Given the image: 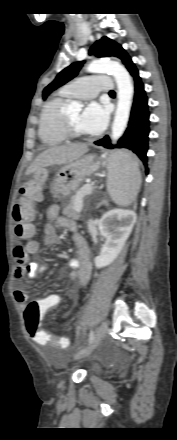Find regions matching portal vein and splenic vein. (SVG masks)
<instances>
[{"instance_id": "18ae733b", "label": "portal vein and splenic vein", "mask_w": 177, "mask_h": 440, "mask_svg": "<svg viewBox=\"0 0 177 440\" xmlns=\"http://www.w3.org/2000/svg\"><path fill=\"white\" fill-rule=\"evenodd\" d=\"M92 191V187H88V189L81 195H85V194H89ZM82 210V205L81 204H77V211L80 212Z\"/></svg>"}]
</instances>
